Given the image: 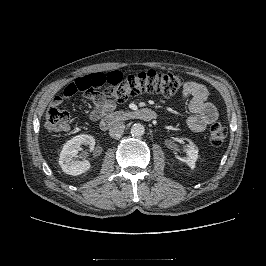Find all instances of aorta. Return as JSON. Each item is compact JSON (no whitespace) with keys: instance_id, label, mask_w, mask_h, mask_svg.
<instances>
[{"instance_id":"762f6f07","label":"aorta","mask_w":266,"mask_h":266,"mask_svg":"<svg viewBox=\"0 0 266 266\" xmlns=\"http://www.w3.org/2000/svg\"><path fill=\"white\" fill-rule=\"evenodd\" d=\"M145 133V127L141 123H135L131 127V134L137 137L143 136Z\"/></svg>"}]
</instances>
